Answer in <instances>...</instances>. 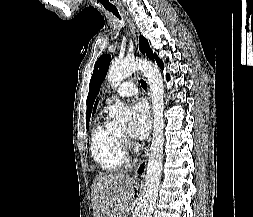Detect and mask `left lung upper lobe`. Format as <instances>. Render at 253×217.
<instances>
[{"label":"left lung upper lobe","mask_w":253,"mask_h":217,"mask_svg":"<svg viewBox=\"0 0 253 217\" xmlns=\"http://www.w3.org/2000/svg\"><path fill=\"white\" fill-rule=\"evenodd\" d=\"M140 51L145 53L149 58L155 59L157 63L162 62L159 58H157L156 54H153L152 50L149 47L147 39L143 36H140ZM111 61V56L108 54L102 55L96 62L94 71L90 80V89L87 97V113H86V121L89 124L92 106L95 101L97 94L99 93L101 83L103 79L106 77L109 65Z\"/></svg>","instance_id":"obj_1"}]
</instances>
